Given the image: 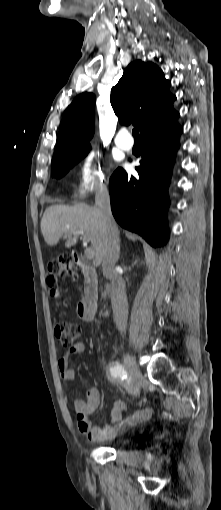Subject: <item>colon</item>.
<instances>
[{"mask_svg": "<svg viewBox=\"0 0 221 510\" xmlns=\"http://www.w3.org/2000/svg\"><path fill=\"white\" fill-rule=\"evenodd\" d=\"M48 273L50 293L52 296L56 297L59 293L57 285L60 279L69 275L72 277H77L78 268L70 255H63L48 264ZM54 334L63 346L70 347L79 337L80 327L77 323L60 320L54 325ZM79 429L81 431L80 427Z\"/></svg>", "mask_w": 221, "mask_h": 510, "instance_id": "obj_1", "label": "colon"}]
</instances>
